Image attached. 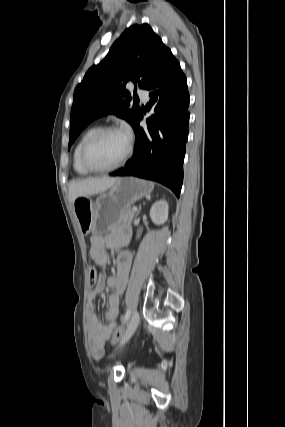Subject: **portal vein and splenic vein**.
Segmentation results:
<instances>
[{
  "instance_id": "obj_1",
  "label": "portal vein and splenic vein",
  "mask_w": 285,
  "mask_h": 427,
  "mask_svg": "<svg viewBox=\"0 0 285 427\" xmlns=\"http://www.w3.org/2000/svg\"><path fill=\"white\" fill-rule=\"evenodd\" d=\"M132 210H133V211H137V208H134V207H133V209H132Z\"/></svg>"
}]
</instances>
